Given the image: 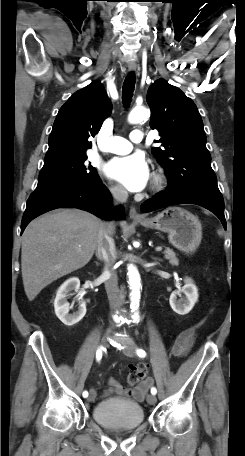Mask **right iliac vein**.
<instances>
[{
  "label": "right iliac vein",
  "mask_w": 245,
  "mask_h": 456,
  "mask_svg": "<svg viewBox=\"0 0 245 456\" xmlns=\"http://www.w3.org/2000/svg\"><path fill=\"white\" fill-rule=\"evenodd\" d=\"M110 333H111V330L109 329V330L106 332V334L102 337V339H101V345H102V347H107V345H108V337H109ZM95 398H96V391H95L94 389H91V390H90L89 397H88V401H89V402H92V401L95 400Z\"/></svg>",
  "instance_id": "right-iliac-vein-1"
}]
</instances>
